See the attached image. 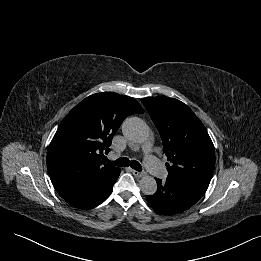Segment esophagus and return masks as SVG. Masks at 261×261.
I'll list each match as a JSON object with an SVG mask.
<instances>
[{
  "label": "esophagus",
  "instance_id": "obj_1",
  "mask_svg": "<svg viewBox=\"0 0 261 261\" xmlns=\"http://www.w3.org/2000/svg\"><path fill=\"white\" fill-rule=\"evenodd\" d=\"M132 173L135 177H143L145 175V172H139V171H136V170H132Z\"/></svg>",
  "mask_w": 261,
  "mask_h": 261
}]
</instances>
